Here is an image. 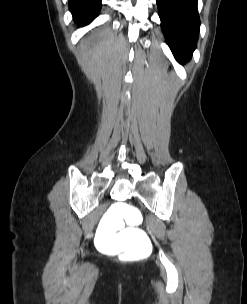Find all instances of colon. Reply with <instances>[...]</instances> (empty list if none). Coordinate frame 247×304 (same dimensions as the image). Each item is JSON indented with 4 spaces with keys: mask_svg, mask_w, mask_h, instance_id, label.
Wrapping results in <instances>:
<instances>
[{
    "mask_svg": "<svg viewBox=\"0 0 247 304\" xmlns=\"http://www.w3.org/2000/svg\"><path fill=\"white\" fill-rule=\"evenodd\" d=\"M143 216L134 202H114L104 210L94 240L99 253H124V259H150L153 241L142 229Z\"/></svg>",
    "mask_w": 247,
    "mask_h": 304,
    "instance_id": "obj_1",
    "label": "colon"
}]
</instances>
